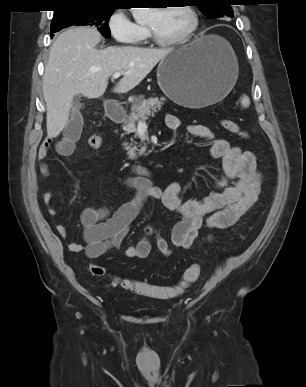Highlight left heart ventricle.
Listing matches in <instances>:
<instances>
[{
  "mask_svg": "<svg viewBox=\"0 0 306 387\" xmlns=\"http://www.w3.org/2000/svg\"><path fill=\"white\" fill-rule=\"evenodd\" d=\"M147 25L164 40H173L183 36L191 25L189 13L182 7L153 9L149 14Z\"/></svg>",
  "mask_w": 306,
  "mask_h": 387,
  "instance_id": "1",
  "label": "left heart ventricle"
}]
</instances>
